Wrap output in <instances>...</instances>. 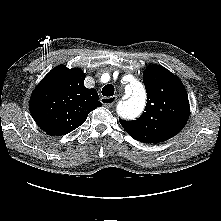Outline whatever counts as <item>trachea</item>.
<instances>
[{
    "label": "trachea",
    "mask_w": 221,
    "mask_h": 221,
    "mask_svg": "<svg viewBox=\"0 0 221 221\" xmlns=\"http://www.w3.org/2000/svg\"><path fill=\"white\" fill-rule=\"evenodd\" d=\"M114 94V86L111 84H107L102 88V95L103 96H112Z\"/></svg>",
    "instance_id": "trachea-1"
}]
</instances>
